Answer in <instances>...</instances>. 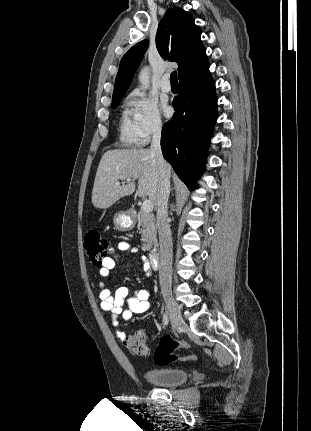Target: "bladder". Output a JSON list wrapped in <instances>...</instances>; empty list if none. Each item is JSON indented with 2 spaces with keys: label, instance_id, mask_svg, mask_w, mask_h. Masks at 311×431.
I'll use <instances>...</instances> for the list:
<instances>
[{
  "label": "bladder",
  "instance_id": "1",
  "mask_svg": "<svg viewBox=\"0 0 311 431\" xmlns=\"http://www.w3.org/2000/svg\"><path fill=\"white\" fill-rule=\"evenodd\" d=\"M143 377L151 384L161 387H173L186 382L189 378V373L180 367H159L146 370Z\"/></svg>",
  "mask_w": 311,
  "mask_h": 431
}]
</instances>
